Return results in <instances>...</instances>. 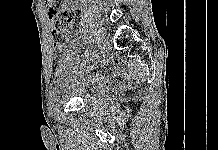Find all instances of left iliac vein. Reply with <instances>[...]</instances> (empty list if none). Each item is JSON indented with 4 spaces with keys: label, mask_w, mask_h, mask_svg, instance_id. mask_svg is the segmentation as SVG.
<instances>
[{
    "label": "left iliac vein",
    "mask_w": 218,
    "mask_h": 150,
    "mask_svg": "<svg viewBox=\"0 0 218 150\" xmlns=\"http://www.w3.org/2000/svg\"><path fill=\"white\" fill-rule=\"evenodd\" d=\"M99 34H100V44L103 45L100 47V49L98 50V54H97V61L94 64H90V68L87 69V71L83 72L84 76H90L91 73L93 72V69H95V65H100L102 62V53L103 51L106 50V47L108 45V41H107V34L105 31L104 26H99Z\"/></svg>",
    "instance_id": "1"
}]
</instances>
